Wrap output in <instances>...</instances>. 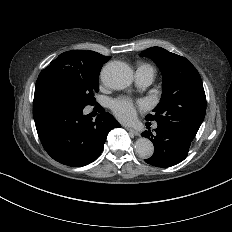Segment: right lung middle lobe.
Here are the masks:
<instances>
[{"mask_svg": "<svg viewBox=\"0 0 232 232\" xmlns=\"http://www.w3.org/2000/svg\"><path fill=\"white\" fill-rule=\"evenodd\" d=\"M100 69L81 64H68L55 59L39 74L36 85H50L65 96L85 107L95 104V93L99 90Z\"/></svg>", "mask_w": 232, "mask_h": 232, "instance_id": "1", "label": "right lung middle lobe"}]
</instances>
